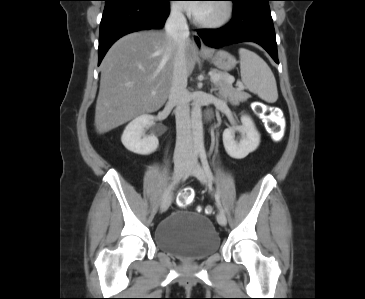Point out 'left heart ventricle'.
Masks as SVG:
<instances>
[{"mask_svg": "<svg viewBox=\"0 0 365 299\" xmlns=\"http://www.w3.org/2000/svg\"><path fill=\"white\" fill-rule=\"evenodd\" d=\"M223 13L222 4L219 2L207 3L204 5L203 10L197 15L202 20H212Z\"/></svg>", "mask_w": 365, "mask_h": 299, "instance_id": "b2bd125f", "label": "left heart ventricle"}]
</instances>
